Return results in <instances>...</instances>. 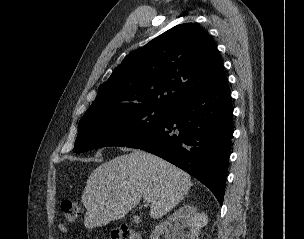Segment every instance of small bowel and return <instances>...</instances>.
I'll use <instances>...</instances> for the list:
<instances>
[{"instance_id":"small-bowel-1","label":"small bowel","mask_w":304,"mask_h":239,"mask_svg":"<svg viewBox=\"0 0 304 239\" xmlns=\"http://www.w3.org/2000/svg\"><path fill=\"white\" fill-rule=\"evenodd\" d=\"M58 229L61 233H66L67 232V226L63 223L59 224Z\"/></svg>"}]
</instances>
